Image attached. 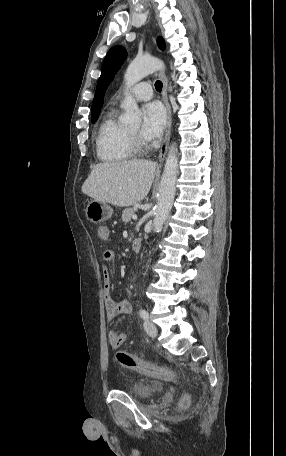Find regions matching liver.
<instances>
[{
    "instance_id": "obj_1",
    "label": "liver",
    "mask_w": 286,
    "mask_h": 456,
    "mask_svg": "<svg viewBox=\"0 0 286 456\" xmlns=\"http://www.w3.org/2000/svg\"><path fill=\"white\" fill-rule=\"evenodd\" d=\"M156 163L138 159L99 163L82 185V192L95 201L128 207L149 193Z\"/></svg>"
}]
</instances>
